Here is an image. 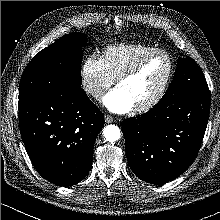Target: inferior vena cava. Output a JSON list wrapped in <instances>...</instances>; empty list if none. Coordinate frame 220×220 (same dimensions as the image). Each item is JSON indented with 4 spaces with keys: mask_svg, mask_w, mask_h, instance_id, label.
<instances>
[{
    "mask_svg": "<svg viewBox=\"0 0 220 220\" xmlns=\"http://www.w3.org/2000/svg\"><path fill=\"white\" fill-rule=\"evenodd\" d=\"M90 93L96 98V99H98V98H101L103 95H104V92L102 91V90H100V89H92L91 91H90Z\"/></svg>",
    "mask_w": 220,
    "mask_h": 220,
    "instance_id": "1",
    "label": "inferior vena cava"
}]
</instances>
